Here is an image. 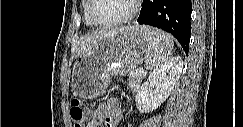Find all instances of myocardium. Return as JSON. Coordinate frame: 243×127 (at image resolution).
<instances>
[{"label": "myocardium", "instance_id": "myocardium-1", "mask_svg": "<svg viewBox=\"0 0 243 127\" xmlns=\"http://www.w3.org/2000/svg\"><path fill=\"white\" fill-rule=\"evenodd\" d=\"M132 4L131 11L124 17L110 22H99L97 21L93 16V6L95 3V0H89L88 10H87V16L89 21L92 23V25L97 27H115L122 24H125L129 21H131L139 12L140 8V0H130Z\"/></svg>", "mask_w": 243, "mask_h": 127}]
</instances>
